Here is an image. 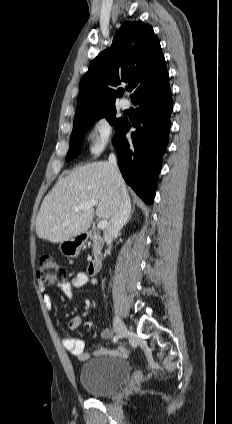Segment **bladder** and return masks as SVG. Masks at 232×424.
<instances>
[{
	"mask_svg": "<svg viewBox=\"0 0 232 424\" xmlns=\"http://www.w3.org/2000/svg\"><path fill=\"white\" fill-rule=\"evenodd\" d=\"M131 368L126 360L99 357L84 363L79 372L81 386L94 397L116 393L127 381Z\"/></svg>",
	"mask_w": 232,
	"mask_h": 424,
	"instance_id": "obj_1",
	"label": "bladder"
}]
</instances>
